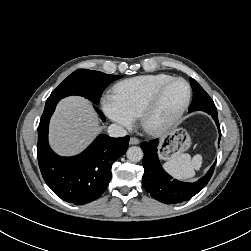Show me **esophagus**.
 Masks as SVG:
<instances>
[{"label":"esophagus","mask_w":251,"mask_h":251,"mask_svg":"<svg viewBox=\"0 0 251 251\" xmlns=\"http://www.w3.org/2000/svg\"><path fill=\"white\" fill-rule=\"evenodd\" d=\"M129 143H130V145H137L140 143V141H139V139H137L135 137H131Z\"/></svg>","instance_id":"esophagus-1"}]
</instances>
